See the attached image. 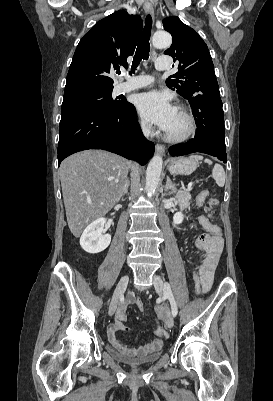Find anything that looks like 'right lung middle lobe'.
Here are the masks:
<instances>
[{
  "mask_svg": "<svg viewBox=\"0 0 273 401\" xmlns=\"http://www.w3.org/2000/svg\"><path fill=\"white\" fill-rule=\"evenodd\" d=\"M111 94L112 89L64 96L61 113L77 108L114 109L119 107L123 101L113 100Z\"/></svg>",
  "mask_w": 273,
  "mask_h": 401,
  "instance_id": "right-lung-middle-lobe-1",
  "label": "right lung middle lobe"
}]
</instances>
